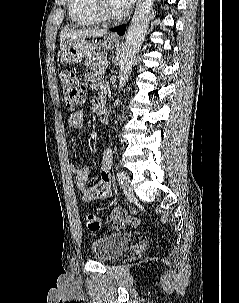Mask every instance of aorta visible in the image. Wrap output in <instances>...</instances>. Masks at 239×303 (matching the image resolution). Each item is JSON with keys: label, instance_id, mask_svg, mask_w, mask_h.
<instances>
[{"label": "aorta", "instance_id": "1", "mask_svg": "<svg viewBox=\"0 0 239 303\" xmlns=\"http://www.w3.org/2000/svg\"><path fill=\"white\" fill-rule=\"evenodd\" d=\"M154 0H138L134 15L126 33L119 61V89L121 90L129 79L133 62L144 41L153 10ZM119 104V99L115 105Z\"/></svg>", "mask_w": 239, "mask_h": 303}]
</instances>
